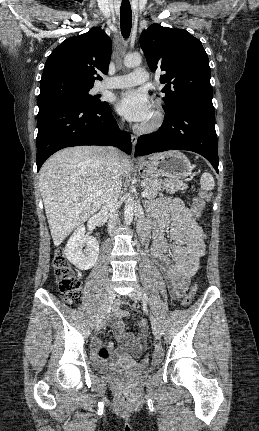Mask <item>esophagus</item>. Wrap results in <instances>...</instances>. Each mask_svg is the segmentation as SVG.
Masks as SVG:
<instances>
[{
	"instance_id": "esophagus-1",
	"label": "esophagus",
	"mask_w": 259,
	"mask_h": 431,
	"mask_svg": "<svg viewBox=\"0 0 259 431\" xmlns=\"http://www.w3.org/2000/svg\"><path fill=\"white\" fill-rule=\"evenodd\" d=\"M131 143H132V151L134 153L135 147H136V143H137V137L135 135H131Z\"/></svg>"
}]
</instances>
